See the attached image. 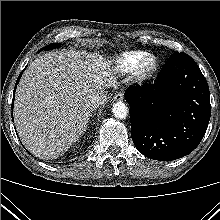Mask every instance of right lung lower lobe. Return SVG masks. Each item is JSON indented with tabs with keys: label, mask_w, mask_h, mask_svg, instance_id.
Segmentation results:
<instances>
[{
	"label": "right lung lower lobe",
	"mask_w": 220,
	"mask_h": 220,
	"mask_svg": "<svg viewBox=\"0 0 220 220\" xmlns=\"http://www.w3.org/2000/svg\"><path fill=\"white\" fill-rule=\"evenodd\" d=\"M21 75H22V73L20 74V76H19V77H18V79H17V82H16V85H15L14 92H15V90H16V86H17V84H18V81H19V79H20ZM13 100H14V97H13ZM12 106H13V105H12Z\"/></svg>",
	"instance_id": "obj_1"
}]
</instances>
